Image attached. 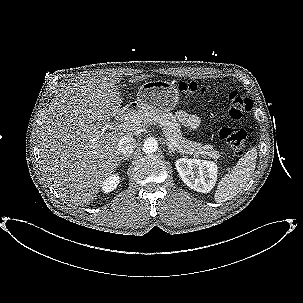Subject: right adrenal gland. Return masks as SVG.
<instances>
[{"label": "right adrenal gland", "mask_w": 303, "mask_h": 303, "mask_svg": "<svg viewBox=\"0 0 303 303\" xmlns=\"http://www.w3.org/2000/svg\"><path fill=\"white\" fill-rule=\"evenodd\" d=\"M129 157H130V155H129V154H128V155H124V156L120 157L119 162H118V165H120V164H121V161H122V160H127Z\"/></svg>", "instance_id": "1"}]
</instances>
